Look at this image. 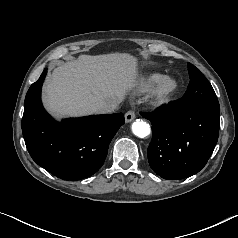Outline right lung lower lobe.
Returning <instances> with one entry per match:
<instances>
[{
    "mask_svg": "<svg viewBox=\"0 0 238 238\" xmlns=\"http://www.w3.org/2000/svg\"><path fill=\"white\" fill-rule=\"evenodd\" d=\"M46 73L44 69L25 97L22 131L26 147L35 163L60 179L89 177L104 163L112 138L124 124V115L53 121L40 99Z\"/></svg>",
    "mask_w": 238,
    "mask_h": 238,
    "instance_id": "98d812e1",
    "label": "right lung lower lobe"
}]
</instances>
